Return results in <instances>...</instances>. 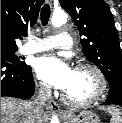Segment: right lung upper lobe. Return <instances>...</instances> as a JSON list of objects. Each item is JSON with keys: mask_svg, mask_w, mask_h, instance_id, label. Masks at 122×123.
Returning <instances> with one entry per match:
<instances>
[{"mask_svg": "<svg viewBox=\"0 0 122 123\" xmlns=\"http://www.w3.org/2000/svg\"><path fill=\"white\" fill-rule=\"evenodd\" d=\"M44 0H1V49H18L16 39L27 35Z\"/></svg>", "mask_w": 122, "mask_h": 123, "instance_id": "obj_1", "label": "right lung upper lobe"}]
</instances>
